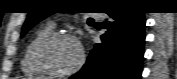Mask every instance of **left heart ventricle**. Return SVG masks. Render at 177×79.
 Listing matches in <instances>:
<instances>
[{"label": "left heart ventricle", "mask_w": 177, "mask_h": 79, "mask_svg": "<svg viewBox=\"0 0 177 79\" xmlns=\"http://www.w3.org/2000/svg\"><path fill=\"white\" fill-rule=\"evenodd\" d=\"M79 49L69 40H62L51 44L44 53L46 63L57 71L73 68L79 61Z\"/></svg>", "instance_id": "obj_1"}]
</instances>
